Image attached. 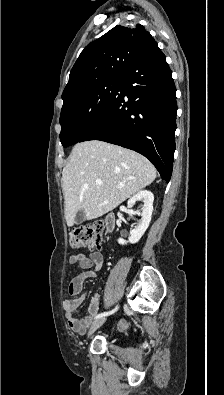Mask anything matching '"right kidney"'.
I'll return each mask as SVG.
<instances>
[{"label":"right kidney","mask_w":224,"mask_h":395,"mask_svg":"<svg viewBox=\"0 0 224 395\" xmlns=\"http://www.w3.org/2000/svg\"><path fill=\"white\" fill-rule=\"evenodd\" d=\"M137 201L143 202V208L141 213L142 218L137 224V226H135V228H133L130 231V237L128 242L131 244H135L141 239V237L143 236V234L145 233V231L147 230L150 224L152 211H153L154 196L150 191L147 190L139 191L137 194H135L133 197H131L128 200L127 203L128 208L133 207V205ZM128 242L123 240L122 238L118 239V243L121 245L127 244Z\"/></svg>","instance_id":"ca27d5eb"}]
</instances>
